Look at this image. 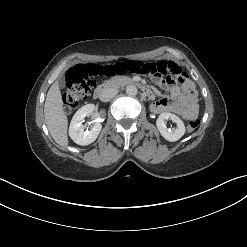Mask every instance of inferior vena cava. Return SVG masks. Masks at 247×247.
Segmentation results:
<instances>
[{
  "label": "inferior vena cava",
  "instance_id": "1",
  "mask_svg": "<svg viewBox=\"0 0 247 247\" xmlns=\"http://www.w3.org/2000/svg\"><path fill=\"white\" fill-rule=\"evenodd\" d=\"M118 93V89L116 88H107L102 91L100 94V100L101 101H109L112 99L116 94Z\"/></svg>",
  "mask_w": 247,
  "mask_h": 247
}]
</instances>
